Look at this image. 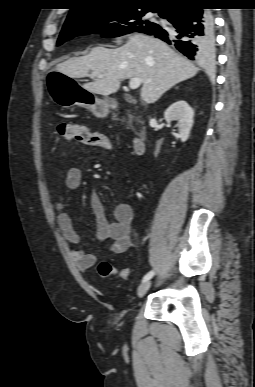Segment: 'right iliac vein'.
<instances>
[{"instance_id":"obj_1","label":"right iliac vein","mask_w":255,"mask_h":387,"mask_svg":"<svg viewBox=\"0 0 255 387\" xmlns=\"http://www.w3.org/2000/svg\"><path fill=\"white\" fill-rule=\"evenodd\" d=\"M150 286H151L150 281H146V282L142 283L137 289L138 297L139 298L143 297L147 293V291L149 290Z\"/></svg>"}]
</instances>
